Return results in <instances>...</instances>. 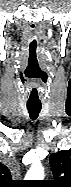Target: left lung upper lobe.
<instances>
[{
    "instance_id": "5c2ea615",
    "label": "left lung upper lobe",
    "mask_w": 71,
    "mask_h": 187,
    "mask_svg": "<svg viewBox=\"0 0 71 187\" xmlns=\"http://www.w3.org/2000/svg\"><path fill=\"white\" fill-rule=\"evenodd\" d=\"M50 165L55 180L45 183L54 187H71V149L51 154Z\"/></svg>"
}]
</instances>
